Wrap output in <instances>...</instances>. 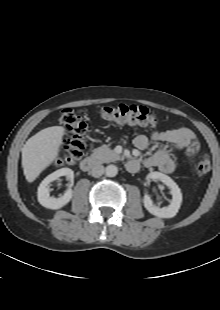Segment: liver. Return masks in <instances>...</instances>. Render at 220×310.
Segmentation results:
<instances>
[{"label":"liver","mask_w":220,"mask_h":310,"mask_svg":"<svg viewBox=\"0 0 220 310\" xmlns=\"http://www.w3.org/2000/svg\"><path fill=\"white\" fill-rule=\"evenodd\" d=\"M65 128L52 126L29 138L22 149V167L26 180L33 182L58 157Z\"/></svg>","instance_id":"6515ba94"}]
</instances>
